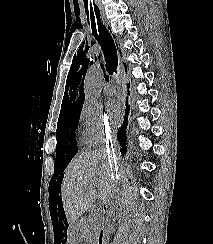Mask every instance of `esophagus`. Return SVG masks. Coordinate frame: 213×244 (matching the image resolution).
I'll return each instance as SVG.
<instances>
[{
    "label": "esophagus",
    "instance_id": "esophagus-1",
    "mask_svg": "<svg viewBox=\"0 0 213 244\" xmlns=\"http://www.w3.org/2000/svg\"><path fill=\"white\" fill-rule=\"evenodd\" d=\"M121 53H123V48L121 45L118 44V54H119V59H120V69H121V72H122V77H123V82L126 84L129 83V71L127 70L126 71V63L123 59H121Z\"/></svg>",
    "mask_w": 213,
    "mask_h": 244
}]
</instances>
